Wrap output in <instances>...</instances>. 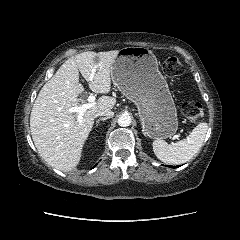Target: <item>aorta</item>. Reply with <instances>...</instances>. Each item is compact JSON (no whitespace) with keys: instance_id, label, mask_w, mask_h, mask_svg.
I'll list each match as a JSON object with an SVG mask.
<instances>
[{"instance_id":"1","label":"aorta","mask_w":240,"mask_h":240,"mask_svg":"<svg viewBox=\"0 0 240 240\" xmlns=\"http://www.w3.org/2000/svg\"><path fill=\"white\" fill-rule=\"evenodd\" d=\"M132 119L131 116L129 114H122L119 118H118V125L121 127H127L131 124Z\"/></svg>"}]
</instances>
